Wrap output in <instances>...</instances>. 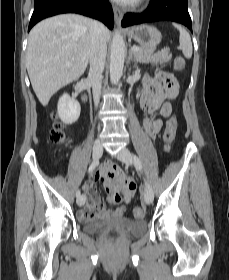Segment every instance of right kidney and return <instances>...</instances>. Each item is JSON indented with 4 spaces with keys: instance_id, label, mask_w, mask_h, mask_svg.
Wrapping results in <instances>:
<instances>
[{
    "instance_id": "ca27d5eb",
    "label": "right kidney",
    "mask_w": 229,
    "mask_h": 280,
    "mask_svg": "<svg viewBox=\"0 0 229 280\" xmlns=\"http://www.w3.org/2000/svg\"><path fill=\"white\" fill-rule=\"evenodd\" d=\"M57 109L58 116L65 124L75 123L81 111L79 102L71 98L67 93L60 97Z\"/></svg>"
}]
</instances>
